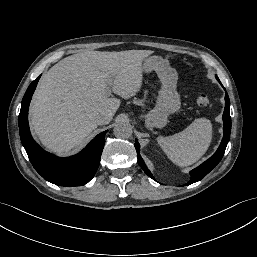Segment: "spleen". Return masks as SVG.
<instances>
[{
    "label": "spleen",
    "instance_id": "obj_1",
    "mask_svg": "<svg viewBox=\"0 0 257 257\" xmlns=\"http://www.w3.org/2000/svg\"><path fill=\"white\" fill-rule=\"evenodd\" d=\"M211 141V121L198 118L183 131L160 137L158 143L173 163L185 167L197 162L206 153Z\"/></svg>",
    "mask_w": 257,
    "mask_h": 257
}]
</instances>
